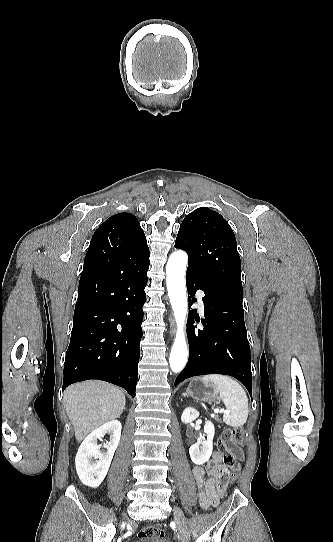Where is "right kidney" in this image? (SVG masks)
<instances>
[{"instance_id":"obj_1","label":"right kidney","mask_w":333,"mask_h":542,"mask_svg":"<svg viewBox=\"0 0 333 542\" xmlns=\"http://www.w3.org/2000/svg\"><path fill=\"white\" fill-rule=\"evenodd\" d=\"M105 434H110V442L104 446H98L97 440H101ZM120 438L121 424L118 420L107 422L86 436L75 458L76 472L84 486L98 488L102 484L110 468L114 452L118 448ZM100 448H106V452H102Z\"/></svg>"}]
</instances>
